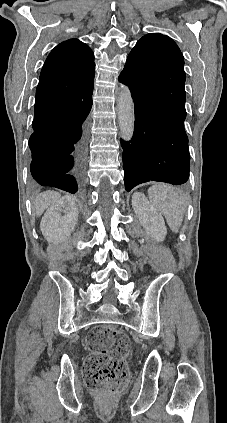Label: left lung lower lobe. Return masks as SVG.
Masks as SVG:
<instances>
[{
	"mask_svg": "<svg viewBox=\"0 0 227 423\" xmlns=\"http://www.w3.org/2000/svg\"><path fill=\"white\" fill-rule=\"evenodd\" d=\"M119 81L129 86L135 110L133 137L129 142L121 140L126 190L147 181L185 183L190 165L184 129L186 112L158 111L151 105L146 91Z\"/></svg>",
	"mask_w": 227,
	"mask_h": 423,
	"instance_id": "1",
	"label": "left lung lower lobe"
}]
</instances>
